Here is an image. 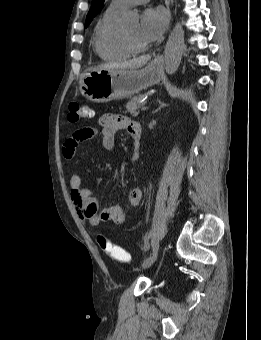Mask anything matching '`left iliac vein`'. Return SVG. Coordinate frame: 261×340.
Returning a JSON list of instances; mask_svg holds the SVG:
<instances>
[{"instance_id": "left-iliac-vein-1", "label": "left iliac vein", "mask_w": 261, "mask_h": 340, "mask_svg": "<svg viewBox=\"0 0 261 340\" xmlns=\"http://www.w3.org/2000/svg\"><path fill=\"white\" fill-rule=\"evenodd\" d=\"M159 255V252L157 251L156 253L152 254L151 256H149L142 264V269H146L148 267H150L157 259Z\"/></svg>"}]
</instances>
